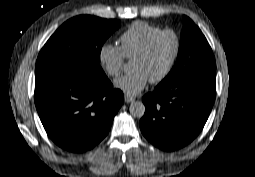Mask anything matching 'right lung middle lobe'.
Wrapping results in <instances>:
<instances>
[{
  "instance_id": "1",
  "label": "right lung middle lobe",
  "mask_w": 255,
  "mask_h": 177,
  "mask_svg": "<svg viewBox=\"0 0 255 177\" xmlns=\"http://www.w3.org/2000/svg\"><path fill=\"white\" fill-rule=\"evenodd\" d=\"M120 27L118 20L80 15L66 21L46 42L35 75L49 71L102 74L100 52L105 40Z\"/></svg>"
}]
</instances>
